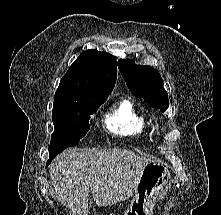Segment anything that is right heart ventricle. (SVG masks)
Returning <instances> with one entry per match:
<instances>
[{
    "label": "right heart ventricle",
    "mask_w": 221,
    "mask_h": 215,
    "mask_svg": "<svg viewBox=\"0 0 221 215\" xmlns=\"http://www.w3.org/2000/svg\"><path fill=\"white\" fill-rule=\"evenodd\" d=\"M105 128L113 135L123 138H144L150 135L147 118L124 98L118 101L104 118Z\"/></svg>",
    "instance_id": "1"
}]
</instances>
